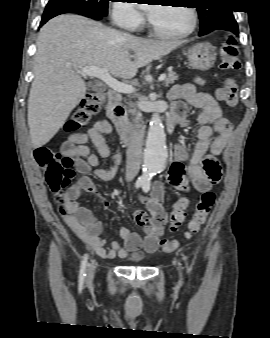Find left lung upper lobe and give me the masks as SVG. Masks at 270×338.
<instances>
[{"instance_id": "1", "label": "left lung upper lobe", "mask_w": 270, "mask_h": 338, "mask_svg": "<svg viewBox=\"0 0 270 338\" xmlns=\"http://www.w3.org/2000/svg\"><path fill=\"white\" fill-rule=\"evenodd\" d=\"M197 2L201 36L234 19L232 10L227 7L228 0H198Z\"/></svg>"}]
</instances>
